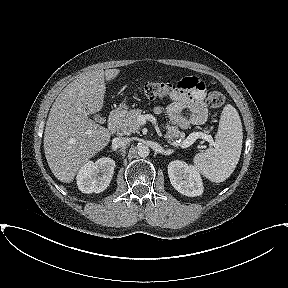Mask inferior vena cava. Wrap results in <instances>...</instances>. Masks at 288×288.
<instances>
[{
  "instance_id": "1",
  "label": "inferior vena cava",
  "mask_w": 288,
  "mask_h": 288,
  "mask_svg": "<svg viewBox=\"0 0 288 288\" xmlns=\"http://www.w3.org/2000/svg\"><path fill=\"white\" fill-rule=\"evenodd\" d=\"M130 142H131V139L127 137H117V138H114L112 141V143L117 147L127 146Z\"/></svg>"
}]
</instances>
